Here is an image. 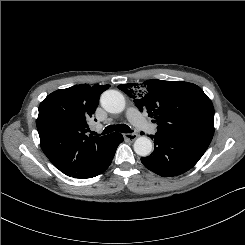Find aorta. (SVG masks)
Wrapping results in <instances>:
<instances>
[{
  "instance_id": "obj_1",
  "label": "aorta",
  "mask_w": 245,
  "mask_h": 245,
  "mask_svg": "<svg viewBox=\"0 0 245 245\" xmlns=\"http://www.w3.org/2000/svg\"><path fill=\"white\" fill-rule=\"evenodd\" d=\"M101 106L109 113H121L125 109V98L116 90H107L101 95ZM134 151L140 156H148L152 151V142L146 136H140L134 142Z\"/></svg>"
}]
</instances>
